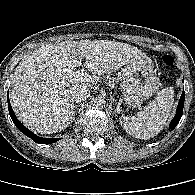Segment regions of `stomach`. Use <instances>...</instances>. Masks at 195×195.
Returning a JSON list of instances; mask_svg holds the SVG:
<instances>
[{
  "label": "stomach",
  "mask_w": 195,
  "mask_h": 195,
  "mask_svg": "<svg viewBox=\"0 0 195 195\" xmlns=\"http://www.w3.org/2000/svg\"><path fill=\"white\" fill-rule=\"evenodd\" d=\"M159 78L152 60L147 56L137 57L123 70V97L130 107L139 106L158 91Z\"/></svg>",
  "instance_id": "0dacf381"
}]
</instances>
